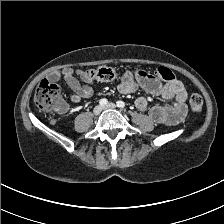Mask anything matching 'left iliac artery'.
<instances>
[{"label": "left iliac artery", "instance_id": "left-iliac-artery-1", "mask_svg": "<svg viewBox=\"0 0 224 224\" xmlns=\"http://www.w3.org/2000/svg\"><path fill=\"white\" fill-rule=\"evenodd\" d=\"M116 104H117V107H119V108H124L125 107V103L121 100L117 101Z\"/></svg>", "mask_w": 224, "mask_h": 224}]
</instances>
